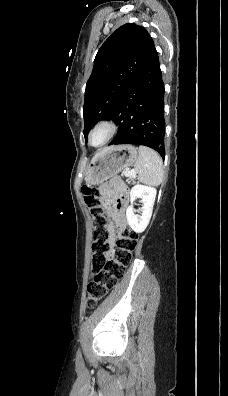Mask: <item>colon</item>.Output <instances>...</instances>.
<instances>
[{
  "mask_svg": "<svg viewBox=\"0 0 228 396\" xmlns=\"http://www.w3.org/2000/svg\"><path fill=\"white\" fill-rule=\"evenodd\" d=\"M114 182L126 193L124 183L119 178H115ZM81 192L93 220L91 266L96 273L87 288V303L89 307H94L123 276L125 267L132 261L138 235L131 230H125L118 242V249L112 253L109 243L111 238L109 220L102 206L99 188L84 185Z\"/></svg>",
  "mask_w": 228,
  "mask_h": 396,
  "instance_id": "obj_1",
  "label": "colon"
}]
</instances>
